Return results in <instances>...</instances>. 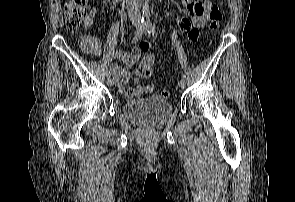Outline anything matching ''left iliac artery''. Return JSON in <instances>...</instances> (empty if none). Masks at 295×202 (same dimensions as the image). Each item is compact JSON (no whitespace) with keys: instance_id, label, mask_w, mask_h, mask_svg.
I'll return each instance as SVG.
<instances>
[{"instance_id":"44dca946","label":"left iliac artery","mask_w":295,"mask_h":202,"mask_svg":"<svg viewBox=\"0 0 295 202\" xmlns=\"http://www.w3.org/2000/svg\"><path fill=\"white\" fill-rule=\"evenodd\" d=\"M145 27H146V30H147L148 34L153 33L154 29H153L151 21H147L145 23ZM182 79L186 80V75H183Z\"/></svg>"}]
</instances>
